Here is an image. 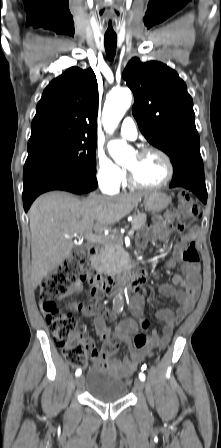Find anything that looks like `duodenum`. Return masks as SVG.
<instances>
[{"instance_id": "410a0bca", "label": "duodenum", "mask_w": 221, "mask_h": 448, "mask_svg": "<svg viewBox=\"0 0 221 448\" xmlns=\"http://www.w3.org/2000/svg\"><path fill=\"white\" fill-rule=\"evenodd\" d=\"M89 254L93 268H98L100 258L98 249L94 247L91 248ZM143 277V272L123 269L117 272L109 273L105 275L102 280L97 279L96 282L98 283L99 291L108 293L113 289V287L118 284L126 285L132 289H136L141 285Z\"/></svg>"}]
</instances>
